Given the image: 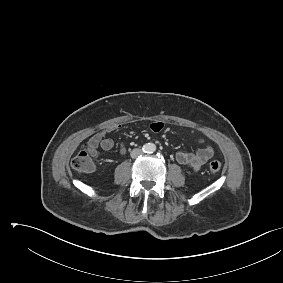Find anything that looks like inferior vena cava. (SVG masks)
Wrapping results in <instances>:
<instances>
[{
    "mask_svg": "<svg viewBox=\"0 0 283 283\" xmlns=\"http://www.w3.org/2000/svg\"><path fill=\"white\" fill-rule=\"evenodd\" d=\"M142 154H143L142 150L136 148V149H133V150L131 151V154H130V155H131L132 158H137L138 156H140V155H142Z\"/></svg>",
    "mask_w": 283,
    "mask_h": 283,
    "instance_id": "inferior-vena-cava-1",
    "label": "inferior vena cava"
}]
</instances>
